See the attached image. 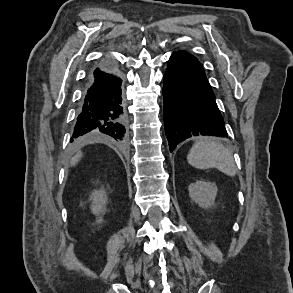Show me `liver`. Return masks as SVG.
I'll list each match as a JSON object with an SVG mask.
<instances>
[{"label": "liver", "instance_id": "liver-1", "mask_svg": "<svg viewBox=\"0 0 293 293\" xmlns=\"http://www.w3.org/2000/svg\"><path fill=\"white\" fill-rule=\"evenodd\" d=\"M82 156V153L81 152H78L72 159H71V165H75L79 159L81 158Z\"/></svg>", "mask_w": 293, "mask_h": 293}]
</instances>
